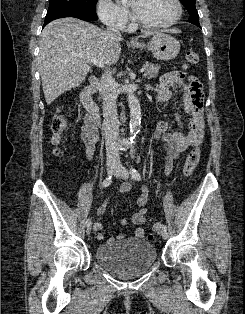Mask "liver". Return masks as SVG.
Listing matches in <instances>:
<instances>
[{"label":"liver","instance_id":"obj_1","mask_svg":"<svg viewBox=\"0 0 245 314\" xmlns=\"http://www.w3.org/2000/svg\"><path fill=\"white\" fill-rule=\"evenodd\" d=\"M155 34L158 33L148 32L142 38ZM121 40L109 30L72 17L49 23L40 36L38 57L47 105L85 80L90 66L77 54L96 57L106 65H113L120 57Z\"/></svg>","mask_w":245,"mask_h":314}]
</instances>
